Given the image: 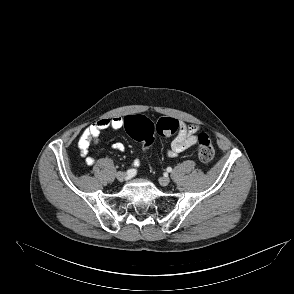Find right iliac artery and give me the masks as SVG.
Returning a JSON list of instances; mask_svg holds the SVG:
<instances>
[{
  "label": "right iliac artery",
  "mask_w": 294,
  "mask_h": 294,
  "mask_svg": "<svg viewBox=\"0 0 294 294\" xmlns=\"http://www.w3.org/2000/svg\"><path fill=\"white\" fill-rule=\"evenodd\" d=\"M126 173H127L128 176L133 177L136 174V170L130 169Z\"/></svg>",
  "instance_id": "right-iliac-artery-1"
}]
</instances>
